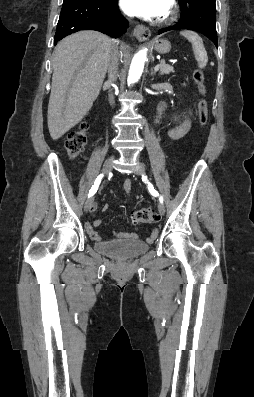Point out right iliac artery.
Returning <instances> with one entry per match:
<instances>
[{
	"label": "right iliac artery",
	"instance_id": "obj_1",
	"mask_svg": "<svg viewBox=\"0 0 254 397\" xmlns=\"http://www.w3.org/2000/svg\"><path fill=\"white\" fill-rule=\"evenodd\" d=\"M102 178H103V174H100V175L96 178L94 185H93L92 188L90 189V192H89V194H88V197H91V196H93V195L96 193V191H97V189H98V187H99V185H100V183H101V181H102Z\"/></svg>",
	"mask_w": 254,
	"mask_h": 397
}]
</instances>
